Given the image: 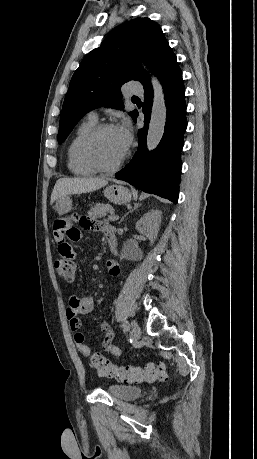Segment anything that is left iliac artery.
I'll return each mask as SVG.
<instances>
[{
	"label": "left iliac artery",
	"mask_w": 257,
	"mask_h": 459,
	"mask_svg": "<svg viewBox=\"0 0 257 459\" xmlns=\"http://www.w3.org/2000/svg\"><path fill=\"white\" fill-rule=\"evenodd\" d=\"M123 328H124V330H126V331L129 330V323H128V321H124V323H123Z\"/></svg>",
	"instance_id": "left-iliac-artery-1"
}]
</instances>
